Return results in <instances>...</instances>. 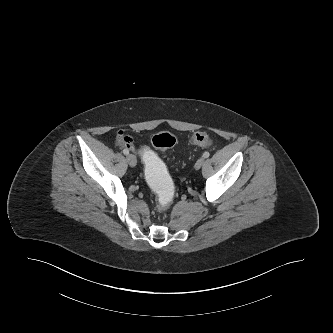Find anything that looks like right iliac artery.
<instances>
[{
    "label": "right iliac artery",
    "instance_id": "right-iliac-artery-1",
    "mask_svg": "<svg viewBox=\"0 0 333 333\" xmlns=\"http://www.w3.org/2000/svg\"><path fill=\"white\" fill-rule=\"evenodd\" d=\"M123 153H124V155H128V154H129V150L124 149V150H123Z\"/></svg>",
    "mask_w": 333,
    "mask_h": 333
}]
</instances>
